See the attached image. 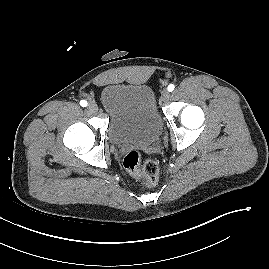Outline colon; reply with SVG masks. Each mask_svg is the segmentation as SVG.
Returning <instances> with one entry per match:
<instances>
[{
	"instance_id": "colon-1",
	"label": "colon",
	"mask_w": 269,
	"mask_h": 269,
	"mask_svg": "<svg viewBox=\"0 0 269 269\" xmlns=\"http://www.w3.org/2000/svg\"><path fill=\"white\" fill-rule=\"evenodd\" d=\"M123 167L134 177L140 178L146 185H154L159 175V166L152 158L142 159L141 154L132 150L123 159Z\"/></svg>"
}]
</instances>
